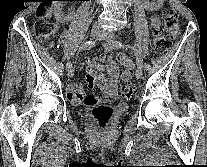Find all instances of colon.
Wrapping results in <instances>:
<instances>
[{"mask_svg":"<svg viewBox=\"0 0 207 167\" xmlns=\"http://www.w3.org/2000/svg\"><path fill=\"white\" fill-rule=\"evenodd\" d=\"M35 31L43 36L49 37L55 31L52 21L50 7L41 6L36 11ZM164 30L167 36L161 35L158 31L154 32L153 46L156 52L164 53L170 44L180 37V23L178 16L171 10L164 12ZM119 91L124 97H132L136 93V85L132 82H123L119 86ZM111 117L110 110L99 107L94 112V119L101 129H105Z\"/></svg>","mask_w":207,"mask_h":167,"instance_id":"1","label":"colon"}]
</instances>
